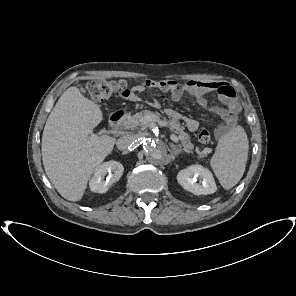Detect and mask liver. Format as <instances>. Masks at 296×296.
I'll list each match as a JSON object with an SVG mask.
<instances>
[{"instance_id": "obj_1", "label": "liver", "mask_w": 296, "mask_h": 296, "mask_svg": "<svg viewBox=\"0 0 296 296\" xmlns=\"http://www.w3.org/2000/svg\"><path fill=\"white\" fill-rule=\"evenodd\" d=\"M102 119L99 105L72 86L46 121L41 148L44 169L59 194L69 201L82 199L91 174L113 150L115 138L92 134Z\"/></svg>"}]
</instances>
